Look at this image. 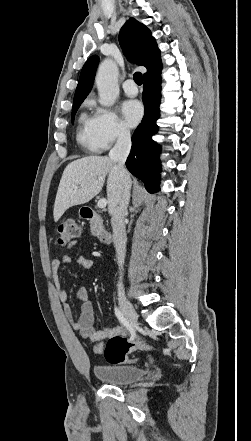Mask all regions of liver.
<instances>
[{
    "mask_svg": "<svg viewBox=\"0 0 251 441\" xmlns=\"http://www.w3.org/2000/svg\"><path fill=\"white\" fill-rule=\"evenodd\" d=\"M107 178L108 210L112 213L121 193L120 170L107 156H87L69 163L63 171L54 204V221L76 205L89 202Z\"/></svg>",
    "mask_w": 251,
    "mask_h": 441,
    "instance_id": "6515ba94",
    "label": "liver"
}]
</instances>
